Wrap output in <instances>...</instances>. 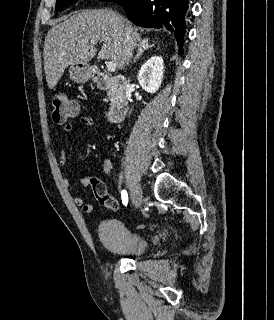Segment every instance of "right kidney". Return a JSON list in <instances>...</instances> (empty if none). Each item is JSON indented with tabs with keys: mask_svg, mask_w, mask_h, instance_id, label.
<instances>
[{
	"mask_svg": "<svg viewBox=\"0 0 274 320\" xmlns=\"http://www.w3.org/2000/svg\"><path fill=\"white\" fill-rule=\"evenodd\" d=\"M163 72L164 60L161 56H152L141 66L137 74V80L145 92L155 94L162 84Z\"/></svg>",
	"mask_w": 274,
	"mask_h": 320,
	"instance_id": "1",
	"label": "right kidney"
}]
</instances>
